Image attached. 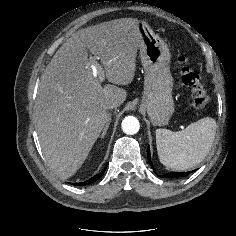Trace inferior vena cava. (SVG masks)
<instances>
[{
  "label": "inferior vena cava",
  "mask_w": 236,
  "mask_h": 236,
  "mask_svg": "<svg viewBox=\"0 0 236 236\" xmlns=\"http://www.w3.org/2000/svg\"><path fill=\"white\" fill-rule=\"evenodd\" d=\"M117 107V104L116 103H109L108 105H107V109H113V108H116Z\"/></svg>",
  "instance_id": "inferior-vena-cava-1"
}]
</instances>
